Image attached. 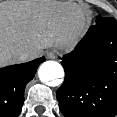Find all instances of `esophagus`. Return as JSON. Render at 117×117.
Listing matches in <instances>:
<instances>
[{"instance_id":"34e87169","label":"esophagus","mask_w":117,"mask_h":117,"mask_svg":"<svg viewBox=\"0 0 117 117\" xmlns=\"http://www.w3.org/2000/svg\"><path fill=\"white\" fill-rule=\"evenodd\" d=\"M46 56L48 59H54L56 57V53L54 51H49Z\"/></svg>"}]
</instances>
